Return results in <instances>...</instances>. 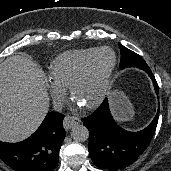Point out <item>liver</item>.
Wrapping results in <instances>:
<instances>
[{"mask_svg":"<svg viewBox=\"0 0 171 171\" xmlns=\"http://www.w3.org/2000/svg\"><path fill=\"white\" fill-rule=\"evenodd\" d=\"M48 109L45 74L34 61L14 55L0 64V141L28 138Z\"/></svg>","mask_w":171,"mask_h":171,"instance_id":"obj_1","label":"liver"}]
</instances>
